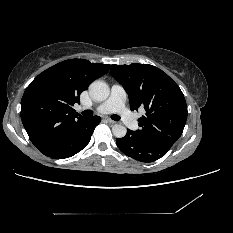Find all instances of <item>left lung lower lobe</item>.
Returning a JSON list of instances; mask_svg holds the SVG:
<instances>
[{
	"mask_svg": "<svg viewBox=\"0 0 233 233\" xmlns=\"http://www.w3.org/2000/svg\"><path fill=\"white\" fill-rule=\"evenodd\" d=\"M116 144L124 154L141 162L158 160L171 148V146L144 139L131 130H127V134L123 138H117Z\"/></svg>",
	"mask_w": 233,
	"mask_h": 233,
	"instance_id": "obj_1",
	"label": "left lung lower lobe"
}]
</instances>
